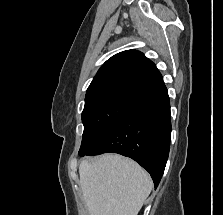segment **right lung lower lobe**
I'll use <instances>...</instances> for the list:
<instances>
[{
  "label": "right lung lower lobe",
  "mask_w": 223,
  "mask_h": 215,
  "mask_svg": "<svg viewBox=\"0 0 223 215\" xmlns=\"http://www.w3.org/2000/svg\"><path fill=\"white\" fill-rule=\"evenodd\" d=\"M171 136L170 100L166 87L135 104L88 152H107L132 158L151 175L157 188L169 155Z\"/></svg>",
  "instance_id": "1"
}]
</instances>
